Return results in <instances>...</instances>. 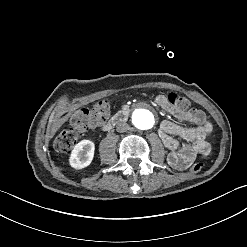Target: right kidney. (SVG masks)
I'll list each match as a JSON object with an SVG mask.
<instances>
[{
	"mask_svg": "<svg viewBox=\"0 0 247 247\" xmlns=\"http://www.w3.org/2000/svg\"><path fill=\"white\" fill-rule=\"evenodd\" d=\"M94 149V143L90 140H82L76 144L69 158L71 167L75 169L87 167L93 159Z\"/></svg>",
	"mask_w": 247,
	"mask_h": 247,
	"instance_id": "1",
	"label": "right kidney"
}]
</instances>
